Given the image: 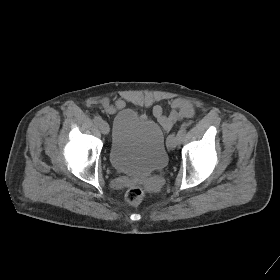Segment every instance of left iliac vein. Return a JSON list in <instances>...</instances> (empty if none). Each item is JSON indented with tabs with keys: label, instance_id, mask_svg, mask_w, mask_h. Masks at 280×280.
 I'll return each instance as SVG.
<instances>
[{
	"label": "left iliac vein",
	"instance_id": "4c4485c4",
	"mask_svg": "<svg viewBox=\"0 0 280 280\" xmlns=\"http://www.w3.org/2000/svg\"><path fill=\"white\" fill-rule=\"evenodd\" d=\"M179 143L180 138L175 134H171L168 138L167 146L169 149H174Z\"/></svg>",
	"mask_w": 280,
	"mask_h": 280
}]
</instances>
